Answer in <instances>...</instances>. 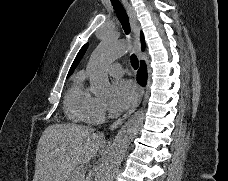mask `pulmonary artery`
I'll list each match as a JSON object with an SVG mask.
<instances>
[{
    "label": "pulmonary artery",
    "instance_id": "1",
    "mask_svg": "<svg viewBox=\"0 0 228 181\" xmlns=\"http://www.w3.org/2000/svg\"><path fill=\"white\" fill-rule=\"evenodd\" d=\"M109 70H112V72H122L121 65H109Z\"/></svg>",
    "mask_w": 228,
    "mask_h": 181
}]
</instances>
